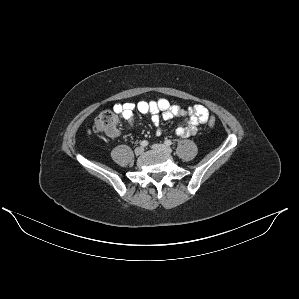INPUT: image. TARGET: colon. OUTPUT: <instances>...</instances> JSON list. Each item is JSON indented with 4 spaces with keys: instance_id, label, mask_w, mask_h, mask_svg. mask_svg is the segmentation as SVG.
<instances>
[{
    "instance_id": "obj_1",
    "label": "colon",
    "mask_w": 299,
    "mask_h": 299,
    "mask_svg": "<svg viewBox=\"0 0 299 299\" xmlns=\"http://www.w3.org/2000/svg\"><path fill=\"white\" fill-rule=\"evenodd\" d=\"M208 125L214 127L216 120L214 117H209ZM118 117L115 111L105 110L101 112L95 119L93 125V132L97 134L113 133L117 130Z\"/></svg>"
}]
</instances>
